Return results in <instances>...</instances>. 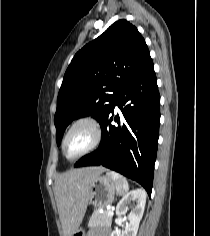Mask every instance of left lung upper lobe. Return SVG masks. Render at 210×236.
<instances>
[{"label":"left lung upper lobe","instance_id":"1","mask_svg":"<svg viewBox=\"0 0 210 236\" xmlns=\"http://www.w3.org/2000/svg\"><path fill=\"white\" fill-rule=\"evenodd\" d=\"M151 60L145 40L124 19L78 51L57 98V145L75 118L91 115L101 124L121 89Z\"/></svg>","mask_w":210,"mask_h":236}]
</instances>
